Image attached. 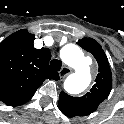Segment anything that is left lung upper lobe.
I'll list each match as a JSON object with an SVG mask.
<instances>
[{
  "label": "left lung upper lobe",
  "mask_w": 124,
  "mask_h": 124,
  "mask_svg": "<svg viewBox=\"0 0 124 124\" xmlns=\"http://www.w3.org/2000/svg\"><path fill=\"white\" fill-rule=\"evenodd\" d=\"M97 60L99 73L90 92L82 97H72L64 92L60 93L59 107L67 117L86 116L94 112L99 104L109 95L112 87V73L100 44L92 38H83L77 42Z\"/></svg>",
  "instance_id": "1"
}]
</instances>
